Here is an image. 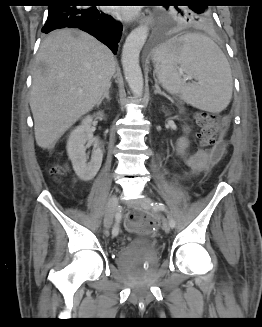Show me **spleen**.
<instances>
[{
  "instance_id": "spleen-1",
  "label": "spleen",
  "mask_w": 262,
  "mask_h": 327,
  "mask_svg": "<svg viewBox=\"0 0 262 327\" xmlns=\"http://www.w3.org/2000/svg\"><path fill=\"white\" fill-rule=\"evenodd\" d=\"M153 61L162 87L180 94L193 107L220 113L229 105L233 91L230 65L209 37L198 33L174 37L156 49ZM178 65L198 82L185 84Z\"/></svg>"
}]
</instances>
